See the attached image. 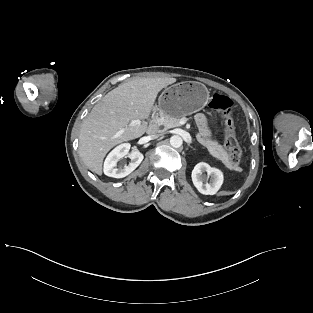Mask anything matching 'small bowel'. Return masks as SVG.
Listing matches in <instances>:
<instances>
[{"instance_id": "small-bowel-1", "label": "small bowel", "mask_w": 313, "mask_h": 313, "mask_svg": "<svg viewBox=\"0 0 313 313\" xmlns=\"http://www.w3.org/2000/svg\"><path fill=\"white\" fill-rule=\"evenodd\" d=\"M196 122L203 134L207 135L209 133L207 119L203 114L196 115Z\"/></svg>"}]
</instances>
